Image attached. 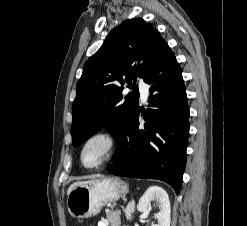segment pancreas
Listing matches in <instances>:
<instances>
[{"mask_svg":"<svg viewBox=\"0 0 247 226\" xmlns=\"http://www.w3.org/2000/svg\"><path fill=\"white\" fill-rule=\"evenodd\" d=\"M116 219H115V216L114 215H112L111 213L107 216V219L106 220H104L105 222H112V221H115ZM117 222H119V218H117V220H116Z\"/></svg>","mask_w":247,"mask_h":226,"instance_id":"pancreas-1","label":"pancreas"}]
</instances>
